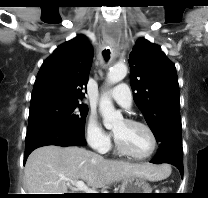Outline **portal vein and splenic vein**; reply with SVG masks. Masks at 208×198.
Listing matches in <instances>:
<instances>
[{"instance_id": "1", "label": "portal vein and splenic vein", "mask_w": 208, "mask_h": 198, "mask_svg": "<svg viewBox=\"0 0 208 198\" xmlns=\"http://www.w3.org/2000/svg\"><path fill=\"white\" fill-rule=\"evenodd\" d=\"M68 182V185L72 184L75 187H77L80 191H83L84 193H96L95 190L89 188L84 181L78 180V181H73L69 179H65Z\"/></svg>"}]
</instances>
